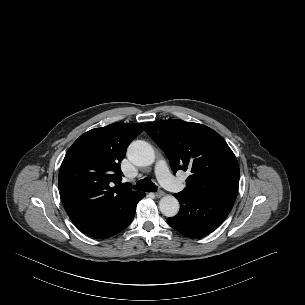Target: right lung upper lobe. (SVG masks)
<instances>
[{
    "label": "right lung upper lobe",
    "instance_id": "cb5924a9",
    "mask_svg": "<svg viewBox=\"0 0 305 305\" xmlns=\"http://www.w3.org/2000/svg\"><path fill=\"white\" fill-rule=\"evenodd\" d=\"M144 123H114L81 135L61 164L58 187L72 222L82 225L110 216L140 192L114 186L123 174L120 162Z\"/></svg>",
    "mask_w": 305,
    "mask_h": 305
}]
</instances>
